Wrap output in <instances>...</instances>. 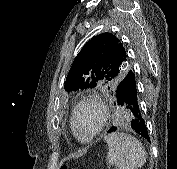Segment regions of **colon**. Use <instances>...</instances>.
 <instances>
[{
    "mask_svg": "<svg viewBox=\"0 0 177 169\" xmlns=\"http://www.w3.org/2000/svg\"><path fill=\"white\" fill-rule=\"evenodd\" d=\"M61 169H68L67 167L63 166Z\"/></svg>",
    "mask_w": 177,
    "mask_h": 169,
    "instance_id": "colon-1",
    "label": "colon"
}]
</instances>
